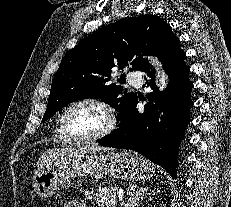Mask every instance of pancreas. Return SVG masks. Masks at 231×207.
Returning a JSON list of instances; mask_svg holds the SVG:
<instances>
[{"label": "pancreas", "mask_w": 231, "mask_h": 207, "mask_svg": "<svg viewBox=\"0 0 231 207\" xmlns=\"http://www.w3.org/2000/svg\"><path fill=\"white\" fill-rule=\"evenodd\" d=\"M117 193V188L104 187L86 192L85 197L92 203L98 204L100 207H109L111 203H115Z\"/></svg>", "instance_id": "cf45deb5"}]
</instances>
